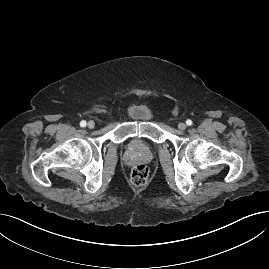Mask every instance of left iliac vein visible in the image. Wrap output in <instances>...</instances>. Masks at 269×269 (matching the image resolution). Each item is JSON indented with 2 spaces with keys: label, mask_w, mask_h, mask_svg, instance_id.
I'll return each mask as SVG.
<instances>
[{
  "label": "left iliac vein",
  "mask_w": 269,
  "mask_h": 269,
  "mask_svg": "<svg viewBox=\"0 0 269 269\" xmlns=\"http://www.w3.org/2000/svg\"><path fill=\"white\" fill-rule=\"evenodd\" d=\"M178 128H179L180 130H185V129H186V124L183 123V122H180V123L178 124Z\"/></svg>",
  "instance_id": "left-iliac-vein-1"
}]
</instances>
